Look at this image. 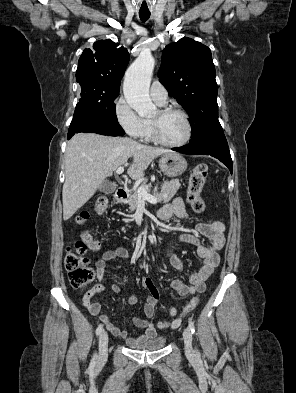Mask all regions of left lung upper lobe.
I'll list each match as a JSON object with an SVG mask.
<instances>
[{
  "label": "left lung upper lobe",
  "mask_w": 296,
  "mask_h": 393,
  "mask_svg": "<svg viewBox=\"0 0 296 393\" xmlns=\"http://www.w3.org/2000/svg\"><path fill=\"white\" fill-rule=\"evenodd\" d=\"M159 79L190 117L189 144L223 134L218 120L215 66L207 46L190 38L167 45Z\"/></svg>",
  "instance_id": "5c2ea615"
}]
</instances>
